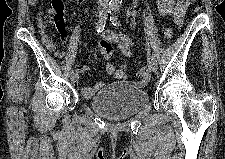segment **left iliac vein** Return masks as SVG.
I'll use <instances>...</instances> for the list:
<instances>
[{"label":"left iliac vein","instance_id":"obj_1","mask_svg":"<svg viewBox=\"0 0 225 159\" xmlns=\"http://www.w3.org/2000/svg\"><path fill=\"white\" fill-rule=\"evenodd\" d=\"M149 68L153 71L156 72L157 71V62L155 59H152L149 63Z\"/></svg>","mask_w":225,"mask_h":159}]
</instances>
